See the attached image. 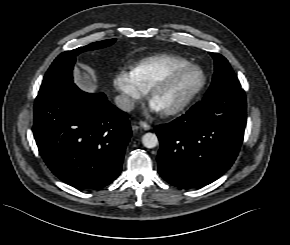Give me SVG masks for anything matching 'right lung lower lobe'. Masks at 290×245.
I'll return each instance as SVG.
<instances>
[{
	"instance_id": "obj_1",
	"label": "right lung lower lobe",
	"mask_w": 290,
	"mask_h": 245,
	"mask_svg": "<svg viewBox=\"0 0 290 245\" xmlns=\"http://www.w3.org/2000/svg\"><path fill=\"white\" fill-rule=\"evenodd\" d=\"M128 115L103 93L74 83L37 96L33 133L50 170L81 189H99L118 177L130 140Z\"/></svg>"
}]
</instances>
